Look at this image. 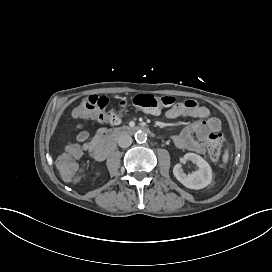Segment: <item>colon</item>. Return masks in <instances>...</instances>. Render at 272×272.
<instances>
[{"label": "colon", "mask_w": 272, "mask_h": 272, "mask_svg": "<svg viewBox=\"0 0 272 272\" xmlns=\"http://www.w3.org/2000/svg\"><path fill=\"white\" fill-rule=\"evenodd\" d=\"M173 96H152L149 94H139L132 100V106L147 112H155L160 109H167L174 103ZM122 102V105H125ZM111 101L107 97L90 95L84 98L83 103L78 107L77 112L83 116L92 117L97 122H102L105 119L110 123L118 124L121 122L120 113L110 112ZM94 109V110H93ZM209 144L210 157L221 164H224L222 150L229 148V138L227 134L219 131H211L207 137ZM80 157V152L75 147H69L64 152V157L57 161L59 169L63 172V178L71 183H76L80 180L82 169L79 165L73 164Z\"/></svg>", "instance_id": "obj_1"}]
</instances>
